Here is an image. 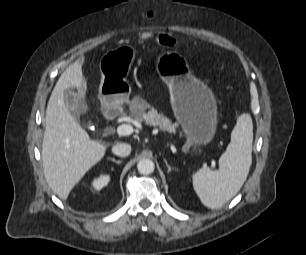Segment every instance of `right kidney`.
Returning <instances> with one entry per match:
<instances>
[{
  "label": "right kidney",
  "mask_w": 306,
  "mask_h": 255,
  "mask_svg": "<svg viewBox=\"0 0 306 255\" xmlns=\"http://www.w3.org/2000/svg\"><path fill=\"white\" fill-rule=\"evenodd\" d=\"M110 181V176L109 175H100L98 178H95L92 182V187L99 191L103 187H105Z\"/></svg>",
  "instance_id": "ca27d5eb"
}]
</instances>
